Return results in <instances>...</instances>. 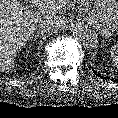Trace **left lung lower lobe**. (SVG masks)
<instances>
[{"instance_id": "0a47b994", "label": "left lung lower lobe", "mask_w": 118, "mask_h": 118, "mask_svg": "<svg viewBox=\"0 0 118 118\" xmlns=\"http://www.w3.org/2000/svg\"><path fill=\"white\" fill-rule=\"evenodd\" d=\"M92 70H93V72L96 74L97 72L92 68ZM98 76H100V74H98ZM100 77H102V76H100Z\"/></svg>"}]
</instances>
